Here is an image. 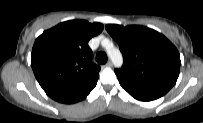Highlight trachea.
Segmentation results:
<instances>
[{
	"mask_svg": "<svg viewBox=\"0 0 203 123\" xmlns=\"http://www.w3.org/2000/svg\"><path fill=\"white\" fill-rule=\"evenodd\" d=\"M96 61L100 64H105L107 62V55L104 52H99L96 55Z\"/></svg>",
	"mask_w": 203,
	"mask_h": 123,
	"instance_id": "trachea-1",
	"label": "trachea"
}]
</instances>
